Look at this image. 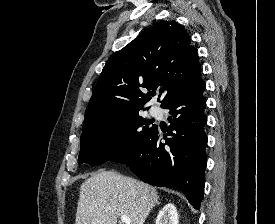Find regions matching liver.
<instances>
[{"instance_id":"6515ba94","label":"liver","mask_w":275,"mask_h":224,"mask_svg":"<svg viewBox=\"0 0 275 224\" xmlns=\"http://www.w3.org/2000/svg\"><path fill=\"white\" fill-rule=\"evenodd\" d=\"M158 201L156 189L113 171L94 173L80 186L75 224H143Z\"/></svg>"}]
</instances>
